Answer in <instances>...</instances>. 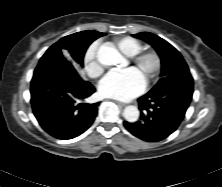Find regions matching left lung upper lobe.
I'll return each instance as SVG.
<instances>
[{"label":"left lung upper lobe","instance_id":"5c2ea615","mask_svg":"<svg viewBox=\"0 0 222 187\" xmlns=\"http://www.w3.org/2000/svg\"><path fill=\"white\" fill-rule=\"evenodd\" d=\"M151 44L161 59V78L148 93H163L161 96L175 98L185 80H193L182 55L167 41L150 32L133 35Z\"/></svg>","mask_w":222,"mask_h":187}]
</instances>
